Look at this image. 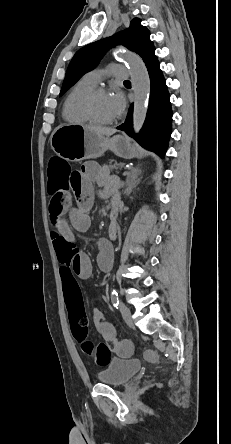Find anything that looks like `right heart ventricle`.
<instances>
[{
  "label": "right heart ventricle",
  "mask_w": 231,
  "mask_h": 444,
  "mask_svg": "<svg viewBox=\"0 0 231 444\" xmlns=\"http://www.w3.org/2000/svg\"><path fill=\"white\" fill-rule=\"evenodd\" d=\"M95 84L85 77L77 81L68 92L62 108L63 118L73 124H86L89 120L82 111V101Z\"/></svg>",
  "instance_id": "right-heart-ventricle-1"
}]
</instances>
